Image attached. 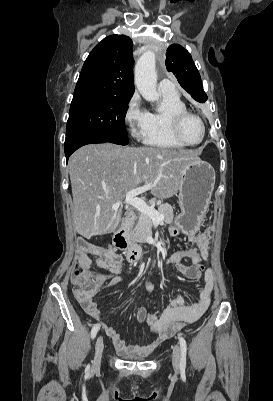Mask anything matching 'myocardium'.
Returning <instances> with one entry per match:
<instances>
[{
	"instance_id": "myocardium-1",
	"label": "myocardium",
	"mask_w": 273,
	"mask_h": 401,
	"mask_svg": "<svg viewBox=\"0 0 273 401\" xmlns=\"http://www.w3.org/2000/svg\"><path fill=\"white\" fill-rule=\"evenodd\" d=\"M190 116L197 117L203 127V138L201 141L196 142V143L187 142L186 140H184V138L182 137V135L180 133V127H181L183 121L187 117H190ZM170 129H171L172 136L178 142H180L181 144H183L184 146H187V147L199 146V145L203 144L208 137V127H207V124H206V121L204 120V118L198 113L187 111V110L172 114L171 119H170Z\"/></svg>"
}]
</instances>
